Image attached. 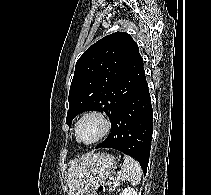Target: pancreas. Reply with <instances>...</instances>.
<instances>
[{"mask_svg": "<svg viewBox=\"0 0 211 195\" xmlns=\"http://www.w3.org/2000/svg\"><path fill=\"white\" fill-rule=\"evenodd\" d=\"M106 186H109L110 191H114L117 187L120 186V182H106Z\"/></svg>", "mask_w": 211, "mask_h": 195, "instance_id": "1", "label": "pancreas"}]
</instances>
